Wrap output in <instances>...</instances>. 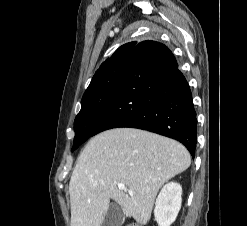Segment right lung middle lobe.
Here are the masks:
<instances>
[{"label":"right lung middle lobe","mask_w":247,"mask_h":226,"mask_svg":"<svg viewBox=\"0 0 247 226\" xmlns=\"http://www.w3.org/2000/svg\"><path fill=\"white\" fill-rule=\"evenodd\" d=\"M128 59L129 56L124 55L112 61L85 91L81 110L74 121L75 138L72 151L92 135L95 125L118 89Z\"/></svg>","instance_id":"obj_1"}]
</instances>
